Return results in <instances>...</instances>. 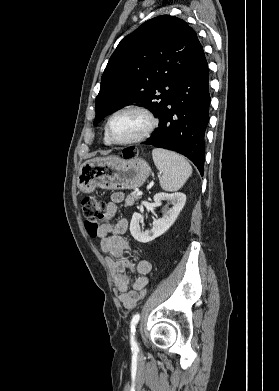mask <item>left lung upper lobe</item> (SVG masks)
<instances>
[{"label": "left lung upper lobe", "mask_w": 279, "mask_h": 391, "mask_svg": "<svg viewBox=\"0 0 279 391\" xmlns=\"http://www.w3.org/2000/svg\"><path fill=\"white\" fill-rule=\"evenodd\" d=\"M202 51L196 32L177 17L162 15L143 23L121 40L109 59L93 124L134 102L146 104L159 118Z\"/></svg>", "instance_id": "obj_1"}]
</instances>
